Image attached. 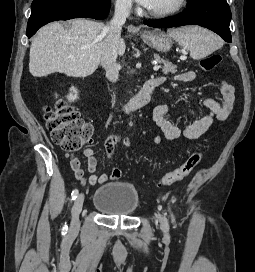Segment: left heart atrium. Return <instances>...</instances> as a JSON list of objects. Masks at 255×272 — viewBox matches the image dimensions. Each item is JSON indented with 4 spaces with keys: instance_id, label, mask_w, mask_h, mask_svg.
<instances>
[{
    "instance_id": "left-heart-atrium-1",
    "label": "left heart atrium",
    "mask_w": 255,
    "mask_h": 272,
    "mask_svg": "<svg viewBox=\"0 0 255 272\" xmlns=\"http://www.w3.org/2000/svg\"><path fill=\"white\" fill-rule=\"evenodd\" d=\"M138 3H140L141 5L145 6V7H149L152 0H136Z\"/></svg>"
}]
</instances>
